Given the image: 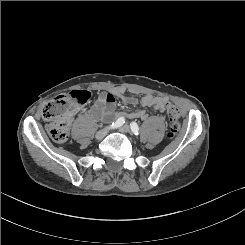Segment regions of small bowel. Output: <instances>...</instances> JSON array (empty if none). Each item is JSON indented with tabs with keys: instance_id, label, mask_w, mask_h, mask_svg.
<instances>
[{
	"instance_id": "c3829d8e",
	"label": "small bowel",
	"mask_w": 245,
	"mask_h": 245,
	"mask_svg": "<svg viewBox=\"0 0 245 245\" xmlns=\"http://www.w3.org/2000/svg\"><path fill=\"white\" fill-rule=\"evenodd\" d=\"M123 101L130 105H140L142 107H150L158 111H162L167 104V100L160 96L145 95L140 100L134 97H123ZM115 109V98L110 93H101L95 104L91 107L89 113L95 120L107 118ZM131 118L146 119L148 117L144 109L138 108L129 113Z\"/></svg>"
}]
</instances>
